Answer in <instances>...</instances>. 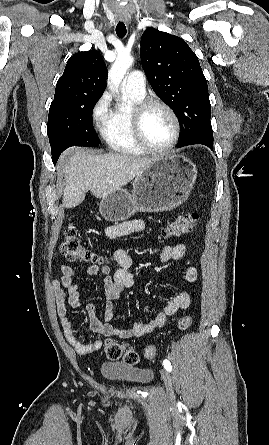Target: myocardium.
I'll return each instance as SVG.
<instances>
[{"instance_id":"1","label":"myocardium","mask_w":269,"mask_h":445,"mask_svg":"<svg viewBox=\"0 0 269 445\" xmlns=\"http://www.w3.org/2000/svg\"><path fill=\"white\" fill-rule=\"evenodd\" d=\"M153 107L163 108L171 117L174 124V134L170 142L163 148H154L148 144L143 133V121L146 113ZM132 130L137 144L147 153L153 155H164L170 152L177 144L180 134L181 125L179 118L174 109L167 103L154 98L142 99L138 102L132 111Z\"/></svg>"}]
</instances>
